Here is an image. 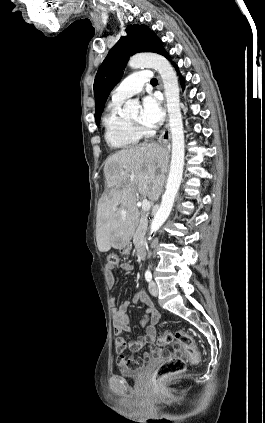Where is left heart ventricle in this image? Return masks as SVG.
Masks as SVG:
<instances>
[{"label": "left heart ventricle", "instance_id": "left-heart-ventricle-1", "mask_svg": "<svg viewBox=\"0 0 265 423\" xmlns=\"http://www.w3.org/2000/svg\"><path fill=\"white\" fill-rule=\"evenodd\" d=\"M130 119H131L132 121H134V122L141 123V114H140V111L135 112V113H134V114L130 117Z\"/></svg>", "mask_w": 265, "mask_h": 423}]
</instances>
